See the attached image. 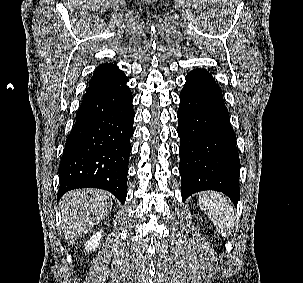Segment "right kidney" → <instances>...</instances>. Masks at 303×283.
<instances>
[{
    "instance_id": "right-kidney-1",
    "label": "right kidney",
    "mask_w": 303,
    "mask_h": 283,
    "mask_svg": "<svg viewBox=\"0 0 303 283\" xmlns=\"http://www.w3.org/2000/svg\"><path fill=\"white\" fill-rule=\"evenodd\" d=\"M102 239V232L99 231L94 234L85 244V251L89 252L95 250L100 245V240Z\"/></svg>"
}]
</instances>
